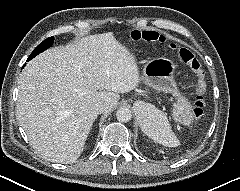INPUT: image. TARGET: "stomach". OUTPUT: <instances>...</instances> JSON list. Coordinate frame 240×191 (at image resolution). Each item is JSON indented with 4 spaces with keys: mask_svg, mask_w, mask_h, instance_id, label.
<instances>
[{
    "mask_svg": "<svg viewBox=\"0 0 240 191\" xmlns=\"http://www.w3.org/2000/svg\"><path fill=\"white\" fill-rule=\"evenodd\" d=\"M175 64L166 58H154L144 65L140 80L147 86L159 91L172 93L177 101L173 106L172 115L176 122L189 126L194 120L191 103L181 93L174 80ZM145 110H138V119Z\"/></svg>",
    "mask_w": 240,
    "mask_h": 191,
    "instance_id": "obj_1",
    "label": "stomach"
}]
</instances>
